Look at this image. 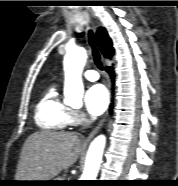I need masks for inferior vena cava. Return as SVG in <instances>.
I'll use <instances>...</instances> for the list:
<instances>
[{"label":"inferior vena cava","instance_id":"obj_1","mask_svg":"<svg viewBox=\"0 0 178 186\" xmlns=\"http://www.w3.org/2000/svg\"><path fill=\"white\" fill-rule=\"evenodd\" d=\"M94 119L93 118H86L83 122V127H89L93 123Z\"/></svg>","mask_w":178,"mask_h":186}]
</instances>
